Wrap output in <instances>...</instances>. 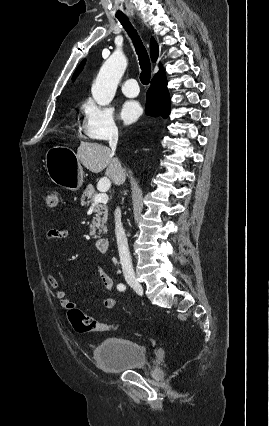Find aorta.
I'll return each mask as SVG.
<instances>
[{"label":"aorta","mask_w":269,"mask_h":426,"mask_svg":"<svg viewBox=\"0 0 269 426\" xmlns=\"http://www.w3.org/2000/svg\"><path fill=\"white\" fill-rule=\"evenodd\" d=\"M126 67L127 59L120 52L113 53L103 64L91 89L92 96L99 105L105 106L112 101Z\"/></svg>","instance_id":"obj_1"}]
</instances>
